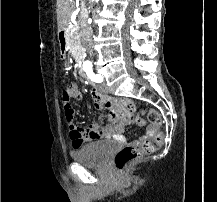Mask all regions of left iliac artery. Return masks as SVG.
Segmentation results:
<instances>
[{
  "label": "left iliac artery",
  "mask_w": 217,
  "mask_h": 202,
  "mask_svg": "<svg viewBox=\"0 0 217 202\" xmlns=\"http://www.w3.org/2000/svg\"><path fill=\"white\" fill-rule=\"evenodd\" d=\"M90 72L92 74V76L90 77V79L92 81H94L96 83H101L103 81V78L98 74L95 75L94 72L92 71V69L90 70Z\"/></svg>",
  "instance_id": "1"
}]
</instances>
